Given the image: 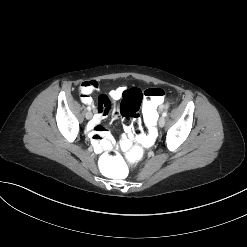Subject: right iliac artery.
<instances>
[{"label":"right iliac artery","mask_w":247,"mask_h":247,"mask_svg":"<svg viewBox=\"0 0 247 247\" xmlns=\"http://www.w3.org/2000/svg\"><path fill=\"white\" fill-rule=\"evenodd\" d=\"M87 110H88V111H91V107H90V106H88V107H87Z\"/></svg>","instance_id":"obj_1"}]
</instances>
